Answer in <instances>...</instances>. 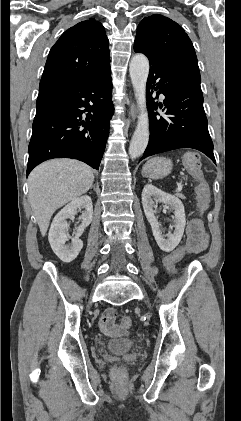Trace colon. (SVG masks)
<instances>
[{"mask_svg":"<svg viewBox=\"0 0 241 421\" xmlns=\"http://www.w3.org/2000/svg\"><path fill=\"white\" fill-rule=\"evenodd\" d=\"M185 165L190 173L198 180V185L196 188L197 193V208L199 213H202L209 204L210 201V189L207 182L203 179V174L201 171V162L200 157L197 153H189L185 158ZM185 255V248L178 247L171 254H169L165 259V266L171 272L175 273V264L180 261ZM121 324L131 325V319L129 316L124 315L121 318ZM115 373L119 372V369L114 370Z\"/></svg>","mask_w":241,"mask_h":421,"instance_id":"5ec220e1","label":"colon"}]
</instances>
